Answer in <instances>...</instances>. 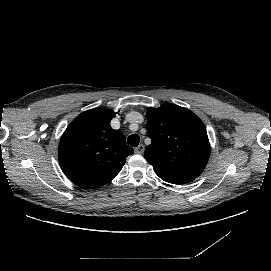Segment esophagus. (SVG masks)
<instances>
[{
	"mask_svg": "<svg viewBox=\"0 0 271 271\" xmlns=\"http://www.w3.org/2000/svg\"><path fill=\"white\" fill-rule=\"evenodd\" d=\"M144 151H145V145L144 144H140L134 149V152L136 154H143Z\"/></svg>",
	"mask_w": 271,
	"mask_h": 271,
	"instance_id": "esophagus-1",
	"label": "esophagus"
}]
</instances>
